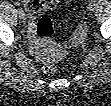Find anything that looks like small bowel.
<instances>
[{"mask_svg":"<svg viewBox=\"0 0 111 106\" xmlns=\"http://www.w3.org/2000/svg\"><path fill=\"white\" fill-rule=\"evenodd\" d=\"M59 3L58 0H32L25 1V5L32 15H37L42 11L51 10ZM29 33H34V26L29 25Z\"/></svg>","mask_w":111,"mask_h":106,"instance_id":"1","label":"small bowel"}]
</instances>
